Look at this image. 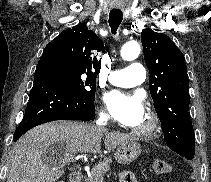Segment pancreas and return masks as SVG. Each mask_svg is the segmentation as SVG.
Masks as SVG:
<instances>
[{
  "mask_svg": "<svg viewBox=\"0 0 211 182\" xmlns=\"http://www.w3.org/2000/svg\"><path fill=\"white\" fill-rule=\"evenodd\" d=\"M110 158L103 159L98 165H96L85 179L84 182H103L104 176L110 170Z\"/></svg>",
  "mask_w": 211,
  "mask_h": 182,
  "instance_id": "1",
  "label": "pancreas"
}]
</instances>
